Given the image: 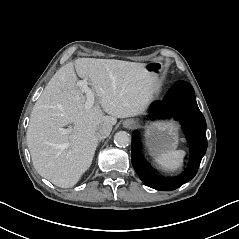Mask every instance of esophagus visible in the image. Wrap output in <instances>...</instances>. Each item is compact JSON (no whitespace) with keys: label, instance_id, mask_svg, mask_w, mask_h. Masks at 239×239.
<instances>
[{"label":"esophagus","instance_id":"34e87169","mask_svg":"<svg viewBox=\"0 0 239 239\" xmlns=\"http://www.w3.org/2000/svg\"><path fill=\"white\" fill-rule=\"evenodd\" d=\"M123 126L125 128L133 129V128H135L137 126V122L134 119H126L123 122Z\"/></svg>","mask_w":239,"mask_h":239}]
</instances>
